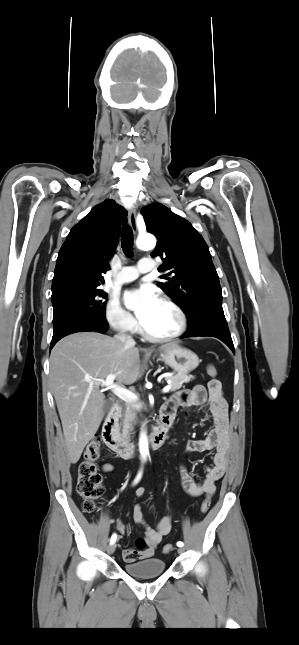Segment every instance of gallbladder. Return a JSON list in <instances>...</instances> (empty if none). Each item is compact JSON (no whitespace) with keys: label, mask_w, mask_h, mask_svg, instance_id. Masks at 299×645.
<instances>
[{"label":"gallbladder","mask_w":299,"mask_h":645,"mask_svg":"<svg viewBox=\"0 0 299 645\" xmlns=\"http://www.w3.org/2000/svg\"><path fill=\"white\" fill-rule=\"evenodd\" d=\"M110 408H111V403L107 401L104 405V413H107L110 410Z\"/></svg>","instance_id":"bac80fb5"}]
</instances>
